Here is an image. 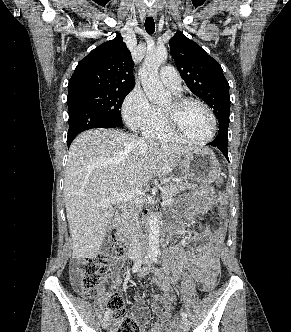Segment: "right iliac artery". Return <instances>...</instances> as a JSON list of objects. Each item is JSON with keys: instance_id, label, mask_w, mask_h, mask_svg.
Masks as SVG:
<instances>
[{"instance_id": "1", "label": "right iliac artery", "mask_w": 291, "mask_h": 332, "mask_svg": "<svg viewBox=\"0 0 291 332\" xmlns=\"http://www.w3.org/2000/svg\"><path fill=\"white\" fill-rule=\"evenodd\" d=\"M149 257L150 256H148L147 258H149ZM142 262H143V260H142V258H140L134 263V265L132 267V272L133 273L137 272L140 269V267L142 265ZM109 314H110V310H106L105 316H109Z\"/></svg>"}]
</instances>
